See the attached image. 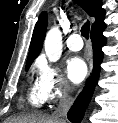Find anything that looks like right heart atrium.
Returning a JSON list of instances; mask_svg holds the SVG:
<instances>
[{"instance_id":"obj_1","label":"right heart atrium","mask_w":118,"mask_h":123,"mask_svg":"<svg viewBox=\"0 0 118 123\" xmlns=\"http://www.w3.org/2000/svg\"><path fill=\"white\" fill-rule=\"evenodd\" d=\"M37 84L46 101L57 103L64 99L70 90V86L56 67L40 59L36 64Z\"/></svg>"}]
</instances>
